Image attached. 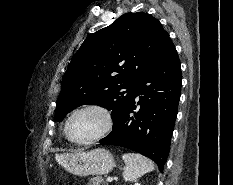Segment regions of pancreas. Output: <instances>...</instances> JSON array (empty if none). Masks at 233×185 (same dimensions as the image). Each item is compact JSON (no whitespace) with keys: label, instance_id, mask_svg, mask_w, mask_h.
Returning a JSON list of instances; mask_svg holds the SVG:
<instances>
[{"label":"pancreas","instance_id":"cf45deb5","mask_svg":"<svg viewBox=\"0 0 233 185\" xmlns=\"http://www.w3.org/2000/svg\"><path fill=\"white\" fill-rule=\"evenodd\" d=\"M107 185V183L104 182V179L101 176H96L90 179L89 185Z\"/></svg>","mask_w":233,"mask_h":185}]
</instances>
